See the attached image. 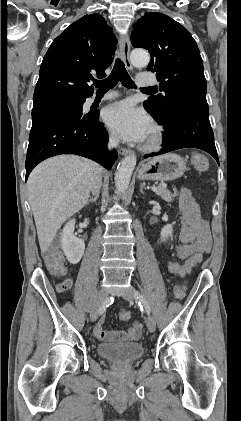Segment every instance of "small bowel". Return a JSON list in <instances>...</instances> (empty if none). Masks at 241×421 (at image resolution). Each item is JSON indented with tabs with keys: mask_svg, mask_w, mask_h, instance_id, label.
<instances>
[{
	"mask_svg": "<svg viewBox=\"0 0 241 421\" xmlns=\"http://www.w3.org/2000/svg\"><path fill=\"white\" fill-rule=\"evenodd\" d=\"M179 207L181 211V243L175 247L177 256L186 260L195 254L208 253L211 248L210 229L207 222L201 217L199 206L188 189H181ZM70 287L71 281L66 280L58 286V289L65 292ZM103 325L104 318H101L94 327V334L101 341H135L142 332V324L139 320H135L128 330H106Z\"/></svg>",
	"mask_w": 241,
	"mask_h": 421,
	"instance_id": "obj_1",
	"label": "small bowel"
}]
</instances>
